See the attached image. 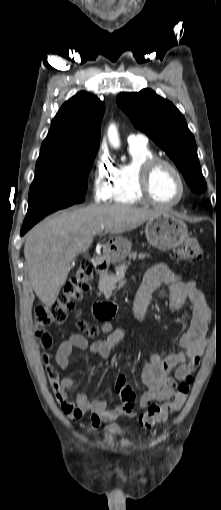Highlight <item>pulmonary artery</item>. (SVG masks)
I'll list each match as a JSON object with an SVG mask.
<instances>
[{
    "instance_id": "pulmonary-artery-1",
    "label": "pulmonary artery",
    "mask_w": 221,
    "mask_h": 510,
    "mask_svg": "<svg viewBox=\"0 0 221 510\" xmlns=\"http://www.w3.org/2000/svg\"><path fill=\"white\" fill-rule=\"evenodd\" d=\"M129 144H147L148 138L142 133H133L128 136Z\"/></svg>"
}]
</instances>
